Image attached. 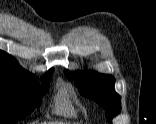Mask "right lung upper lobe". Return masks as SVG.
<instances>
[{"mask_svg": "<svg viewBox=\"0 0 156 124\" xmlns=\"http://www.w3.org/2000/svg\"><path fill=\"white\" fill-rule=\"evenodd\" d=\"M53 69H50L46 75H52ZM0 75L21 77V78H35L32 73L21 68L18 62L6 52L0 50Z\"/></svg>", "mask_w": 156, "mask_h": 124, "instance_id": "cb5924a9", "label": "right lung upper lobe"}]
</instances>
